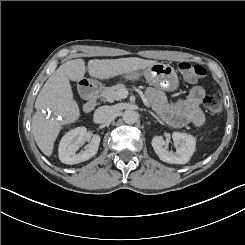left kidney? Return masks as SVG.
Here are the masks:
<instances>
[{
	"instance_id": "5707ae66",
	"label": "left kidney",
	"mask_w": 245,
	"mask_h": 245,
	"mask_svg": "<svg viewBox=\"0 0 245 245\" xmlns=\"http://www.w3.org/2000/svg\"><path fill=\"white\" fill-rule=\"evenodd\" d=\"M172 137L176 143L178 142L181 145L177 147L175 153L167 149L166 142L162 137H155L152 140V147L162 161L171 164H186L195 152L196 138L190 134L178 131L173 132Z\"/></svg>"
}]
</instances>
